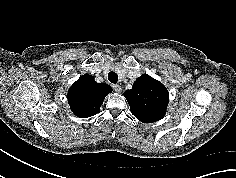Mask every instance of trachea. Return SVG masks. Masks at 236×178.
I'll use <instances>...</instances> for the list:
<instances>
[{
  "instance_id": "3493384b",
  "label": "trachea",
  "mask_w": 236,
  "mask_h": 178,
  "mask_svg": "<svg viewBox=\"0 0 236 178\" xmlns=\"http://www.w3.org/2000/svg\"><path fill=\"white\" fill-rule=\"evenodd\" d=\"M108 80L111 82V83H117L118 81V76L115 72L111 71L109 72L108 74Z\"/></svg>"
}]
</instances>
